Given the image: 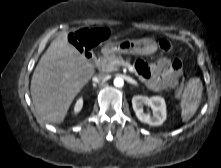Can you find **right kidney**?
Instances as JSON below:
<instances>
[{
  "instance_id": "obj_1",
  "label": "right kidney",
  "mask_w": 221,
  "mask_h": 168,
  "mask_svg": "<svg viewBox=\"0 0 221 168\" xmlns=\"http://www.w3.org/2000/svg\"><path fill=\"white\" fill-rule=\"evenodd\" d=\"M82 106H83V100L80 98L79 100H77L75 104V107H74L75 113H78L81 110Z\"/></svg>"
}]
</instances>
